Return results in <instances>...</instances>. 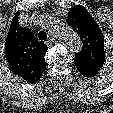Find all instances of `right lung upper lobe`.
<instances>
[{"label": "right lung upper lobe", "mask_w": 113, "mask_h": 113, "mask_svg": "<svg viewBox=\"0 0 113 113\" xmlns=\"http://www.w3.org/2000/svg\"><path fill=\"white\" fill-rule=\"evenodd\" d=\"M19 12L12 19L5 42L9 69L29 83L38 81L46 68L47 46L18 23Z\"/></svg>", "instance_id": "obj_1"}]
</instances>
